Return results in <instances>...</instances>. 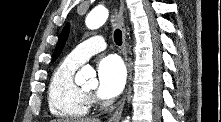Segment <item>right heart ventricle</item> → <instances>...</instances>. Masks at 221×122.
Returning a JSON list of instances; mask_svg holds the SVG:
<instances>
[{
	"instance_id": "e07e8e85",
	"label": "right heart ventricle",
	"mask_w": 221,
	"mask_h": 122,
	"mask_svg": "<svg viewBox=\"0 0 221 122\" xmlns=\"http://www.w3.org/2000/svg\"><path fill=\"white\" fill-rule=\"evenodd\" d=\"M80 64L69 56L54 70L48 86V106L57 117L77 118L85 116L90 100L75 82Z\"/></svg>"
}]
</instances>
